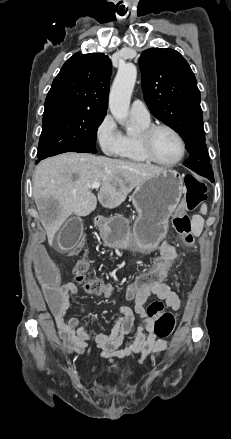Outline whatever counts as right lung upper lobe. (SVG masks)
<instances>
[{
	"instance_id": "obj_1",
	"label": "right lung upper lobe",
	"mask_w": 231,
	"mask_h": 439,
	"mask_svg": "<svg viewBox=\"0 0 231 439\" xmlns=\"http://www.w3.org/2000/svg\"><path fill=\"white\" fill-rule=\"evenodd\" d=\"M111 61L102 53H76L54 79L43 116L65 112L106 114Z\"/></svg>"
}]
</instances>
